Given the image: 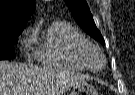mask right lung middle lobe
I'll list each match as a JSON object with an SVG mask.
<instances>
[{
  "instance_id": "obj_1",
  "label": "right lung middle lobe",
  "mask_w": 135,
  "mask_h": 95,
  "mask_svg": "<svg viewBox=\"0 0 135 95\" xmlns=\"http://www.w3.org/2000/svg\"><path fill=\"white\" fill-rule=\"evenodd\" d=\"M22 31H13L0 35V60L13 59L15 57L14 44Z\"/></svg>"
}]
</instances>
